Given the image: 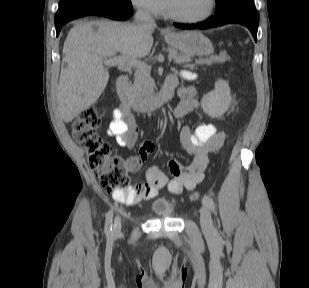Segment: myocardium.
<instances>
[{
	"label": "myocardium",
	"mask_w": 309,
	"mask_h": 288,
	"mask_svg": "<svg viewBox=\"0 0 309 288\" xmlns=\"http://www.w3.org/2000/svg\"><path fill=\"white\" fill-rule=\"evenodd\" d=\"M215 9H216V0H209V9L204 15L196 17V18H185V17L179 16L176 13H174V11L171 9L169 0H165V12L167 16L177 22L184 23V24L202 23L208 20L213 15Z\"/></svg>",
	"instance_id": "f54148a6"
}]
</instances>
